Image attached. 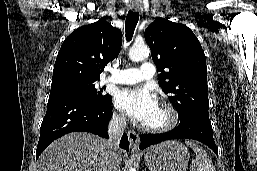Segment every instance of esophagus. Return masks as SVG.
<instances>
[{"mask_svg":"<svg viewBox=\"0 0 257 171\" xmlns=\"http://www.w3.org/2000/svg\"><path fill=\"white\" fill-rule=\"evenodd\" d=\"M131 8L134 10V11H137L139 10L140 8V3L139 2H133L131 4ZM128 139H129V145H130V148L133 150V151H136L139 147V136L138 134L133 131V130H129L128 131Z\"/></svg>","mask_w":257,"mask_h":171,"instance_id":"1","label":"esophagus"}]
</instances>
